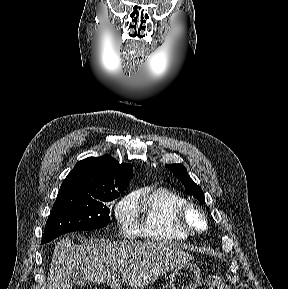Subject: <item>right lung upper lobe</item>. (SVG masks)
Segmentation results:
<instances>
[{
	"mask_svg": "<svg viewBox=\"0 0 288 289\" xmlns=\"http://www.w3.org/2000/svg\"><path fill=\"white\" fill-rule=\"evenodd\" d=\"M133 167L109 155L89 157L76 163L63 181L59 192L97 193L107 190L125 191L131 178Z\"/></svg>",
	"mask_w": 288,
	"mask_h": 289,
	"instance_id": "obj_1",
	"label": "right lung upper lobe"
}]
</instances>
